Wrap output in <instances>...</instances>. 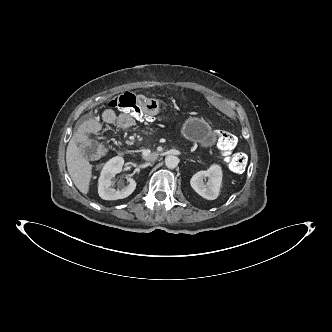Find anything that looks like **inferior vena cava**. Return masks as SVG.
<instances>
[{"instance_id":"1","label":"inferior vena cava","mask_w":332,"mask_h":332,"mask_svg":"<svg viewBox=\"0 0 332 332\" xmlns=\"http://www.w3.org/2000/svg\"><path fill=\"white\" fill-rule=\"evenodd\" d=\"M158 157V154L153 152V153H150L149 155H144V159L146 161H152V160H155L156 158Z\"/></svg>"}]
</instances>
